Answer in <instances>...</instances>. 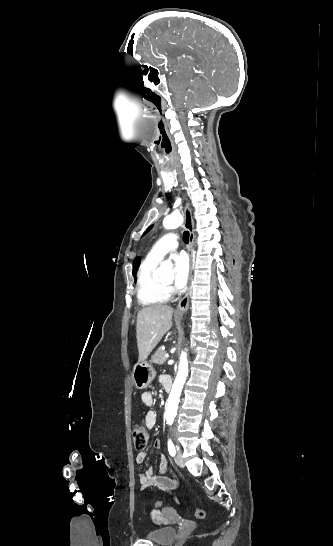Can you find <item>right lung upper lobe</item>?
<instances>
[{
  "mask_svg": "<svg viewBox=\"0 0 333 546\" xmlns=\"http://www.w3.org/2000/svg\"><path fill=\"white\" fill-rule=\"evenodd\" d=\"M134 264H137L139 266V264H140V258L139 257L135 258L133 265Z\"/></svg>",
  "mask_w": 333,
  "mask_h": 546,
  "instance_id": "cb5924a9",
  "label": "right lung upper lobe"
}]
</instances>
